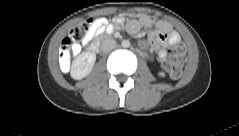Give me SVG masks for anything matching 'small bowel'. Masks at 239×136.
<instances>
[{"instance_id": "c3829d8e", "label": "small bowel", "mask_w": 239, "mask_h": 136, "mask_svg": "<svg viewBox=\"0 0 239 136\" xmlns=\"http://www.w3.org/2000/svg\"><path fill=\"white\" fill-rule=\"evenodd\" d=\"M124 26L131 34H138L141 28L155 27V30L149 33V42L151 46L155 49H158L160 44H176L181 40L179 34L174 31L171 25L166 21H154L149 16H142L138 20H131L125 23L123 18L117 17L111 24H109L104 19L96 20L92 30L90 31L88 36L82 41V46L88 44L94 36L98 35L103 31L111 33ZM80 47L81 45H78V48ZM166 56V49L161 48L158 50L157 58L160 62H163Z\"/></svg>"}]
</instances>
